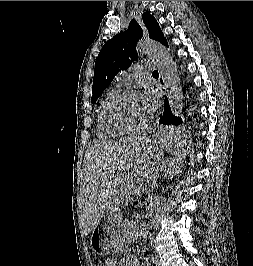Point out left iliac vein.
I'll list each match as a JSON object with an SVG mask.
<instances>
[{"mask_svg": "<svg viewBox=\"0 0 253 266\" xmlns=\"http://www.w3.org/2000/svg\"><path fill=\"white\" fill-rule=\"evenodd\" d=\"M156 266H161V262L159 261V259H158V261L156 263Z\"/></svg>", "mask_w": 253, "mask_h": 266, "instance_id": "1", "label": "left iliac vein"}]
</instances>
